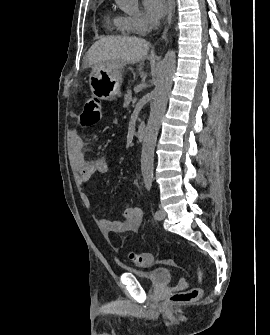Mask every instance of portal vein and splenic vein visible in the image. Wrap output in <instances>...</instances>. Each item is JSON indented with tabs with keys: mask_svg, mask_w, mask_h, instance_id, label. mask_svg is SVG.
I'll return each instance as SVG.
<instances>
[{
	"mask_svg": "<svg viewBox=\"0 0 270 335\" xmlns=\"http://www.w3.org/2000/svg\"><path fill=\"white\" fill-rule=\"evenodd\" d=\"M140 99V96L139 95H136L135 96V100H139ZM135 100H134V103H135Z\"/></svg>",
	"mask_w": 270,
	"mask_h": 335,
	"instance_id": "obj_1",
	"label": "portal vein and splenic vein"
}]
</instances>
